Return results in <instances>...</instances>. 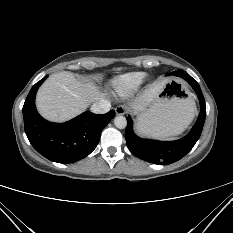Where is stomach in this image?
Wrapping results in <instances>:
<instances>
[{
	"label": "stomach",
	"instance_id": "stomach-1",
	"mask_svg": "<svg viewBox=\"0 0 233 233\" xmlns=\"http://www.w3.org/2000/svg\"><path fill=\"white\" fill-rule=\"evenodd\" d=\"M195 115V103L178 80L170 79L155 99L137 113L140 134L165 138L181 134Z\"/></svg>",
	"mask_w": 233,
	"mask_h": 233
}]
</instances>
